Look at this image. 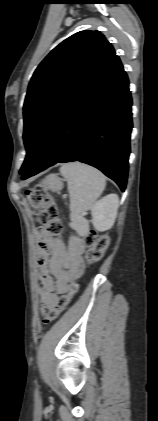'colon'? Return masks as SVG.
Masks as SVG:
<instances>
[{
  "instance_id": "5ec220e1",
  "label": "colon",
  "mask_w": 158,
  "mask_h": 421,
  "mask_svg": "<svg viewBox=\"0 0 158 421\" xmlns=\"http://www.w3.org/2000/svg\"><path fill=\"white\" fill-rule=\"evenodd\" d=\"M28 199L32 208L36 211V222L40 225L39 232L52 236H60L63 231L62 223L58 216V208L54 198L42 187L35 186L28 192ZM109 239L106 234L91 231L85 236L87 246L86 262L94 264L100 261L108 247ZM78 290L76 283H71L68 293L58 298L56 305L46 309L44 322L55 321L68 307Z\"/></svg>"
}]
</instances>
